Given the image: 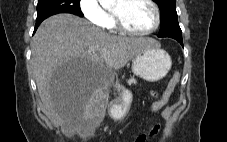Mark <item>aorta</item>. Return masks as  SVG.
I'll list each match as a JSON object with an SVG mask.
<instances>
[{"mask_svg": "<svg viewBox=\"0 0 227 142\" xmlns=\"http://www.w3.org/2000/svg\"><path fill=\"white\" fill-rule=\"evenodd\" d=\"M101 4L106 7L108 5L114 4L116 0H100Z\"/></svg>", "mask_w": 227, "mask_h": 142, "instance_id": "obj_1", "label": "aorta"}]
</instances>
